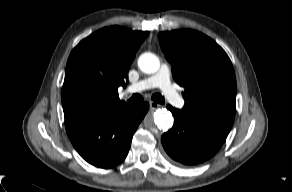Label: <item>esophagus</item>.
I'll return each instance as SVG.
<instances>
[{
    "label": "esophagus",
    "instance_id": "obj_1",
    "mask_svg": "<svg viewBox=\"0 0 292 192\" xmlns=\"http://www.w3.org/2000/svg\"><path fill=\"white\" fill-rule=\"evenodd\" d=\"M149 104H150V108L152 110H155L161 106L160 104H158L157 102H154V101H150Z\"/></svg>",
    "mask_w": 292,
    "mask_h": 192
}]
</instances>
